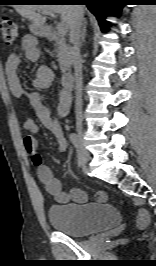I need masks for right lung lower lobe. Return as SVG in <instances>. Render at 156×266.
<instances>
[{
  "label": "right lung lower lobe",
  "mask_w": 156,
  "mask_h": 266,
  "mask_svg": "<svg viewBox=\"0 0 156 266\" xmlns=\"http://www.w3.org/2000/svg\"><path fill=\"white\" fill-rule=\"evenodd\" d=\"M58 2L51 3H78L87 5L88 9L96 16L101 29L105 32L108 29L109 23L105 21L106 16H118L125 0H56Z\"/></svg>",
  "instance_id": "right-lung-lower-lobe-1"
}]
</instances>
